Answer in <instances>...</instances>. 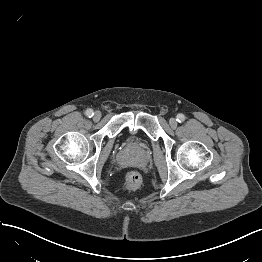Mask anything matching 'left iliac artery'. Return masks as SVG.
<instances>
[{"mask_svg":"<svg viewBox=\"0 0 262 262\" xmlns=\"http://www.w3.org/2000/svg\"><path fill=\"white\" fill-rule=\"evenodd\" d=\"M176 120L178 122H183L185 120V116L183 114H178Z\"/></svg>","mask_w":262,"mask_h":262,"instance_id":"1","label":"left iliac artery"}]
</instances>
